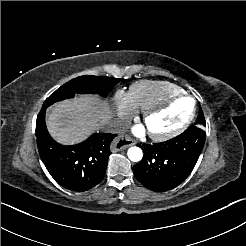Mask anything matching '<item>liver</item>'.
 I'll return each instance as SVG.
<instances>
[{
    "mask_svg": "<svg viewBox=\"0 0 246 246\" xmlns=\"http://www.w3.org/2000/svg\"><path fill=\"white\" fill-rule=\"evenodd\" d=\"M112 116L109 103L97 96H79L51 109L47 127L51 136L66 145L79 143L106 125Z\"/></svg>",
    "mask_w": 246,
    "mask_h": 246,
    "instance_id": "obj_1",
    "label": "liver"
}]
</instances>
